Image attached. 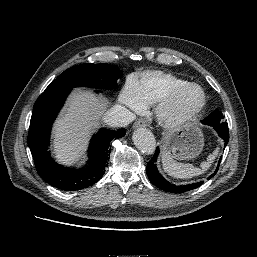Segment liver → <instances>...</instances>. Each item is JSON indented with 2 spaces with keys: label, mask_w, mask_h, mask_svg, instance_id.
Segmentation results:
<instances>
[{
  "label": "liver",
  "mask_w": 257,
  "mask_h": 257,
  "mask_svg": "<svg viewBox=\"0 0 257 257\" xmlns=\"http://www.w3.org/2000/svg\"><path fill=\"white\" fill-rule=\"evenodd\" d=\"M108 100L89 91H75L53 130V151L60 163L82 157L96 121L106 114Z\"/></svg>",
  "instance_id": "1"
}]
</instances>
